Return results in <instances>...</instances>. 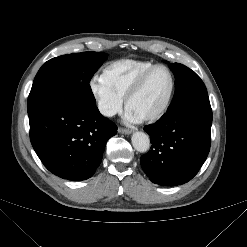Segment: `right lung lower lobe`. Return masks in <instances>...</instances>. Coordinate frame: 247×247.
Here are the masks:
<instances>
[{
	"instance_id": "98d812e1",
	"label": "right lung lower lobe",
	"mask_w": 247,
	"mask_h": 247,
	"mask_svg": "<svg viewBox=\"0 0 247 247\" xmlns=\"http://www.w3.org/2000/svg\"><path fill=\"white\" fill-rule=\"evenodd\" d=\"M30 140L44 166L69 180H86L100 165L117 126L95 105L53 98L28 108Z\"/></svg>"
}]
</instances>
